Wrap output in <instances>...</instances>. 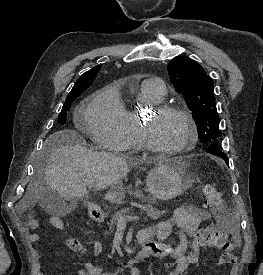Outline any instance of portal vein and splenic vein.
Wrapping results in <instances>:
<instances>
[{"mask_svg":"<svg viewBox=\"0 0 263 275\" xmlns=\"http://www.w3.org/2000/svg\"><path fill=\"white\" fill-rule=\"evenodd\" d=\"M87 186H88V188H92L93 184L88 183ZM138 219H139V217H137V216H134V217H132V216H120L118 218V223L119 224H126L127 221H134V220H138Z\"/></svg>","mask_w":263,"mask_h":275,"instance_id":"18ae733b","label":"portal vein and splenic vein"}]
</instances>
